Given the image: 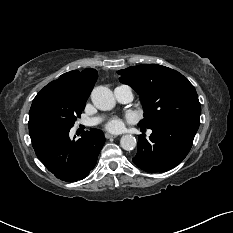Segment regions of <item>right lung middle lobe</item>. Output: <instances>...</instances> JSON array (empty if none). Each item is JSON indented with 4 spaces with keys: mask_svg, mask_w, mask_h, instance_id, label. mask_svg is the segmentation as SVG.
Here are the masks:
<instances>
[{
    "mask_svg": "<svg viewBox=\"0 0 233 233\" xmlns=\"http://www.w3.org/2000/svg\"><path fill=\"white\" fill-rule=\"evenodd\" d=\"M86 100L45 86L34 98L29 112V128L53 125L72 128L84 110Z\"/></svg>",
    "mask_w": 233,
    "mask_h": 233,
    "instance_id": "1",
    "label": "right lung middle lobe"
}]
</instances>
